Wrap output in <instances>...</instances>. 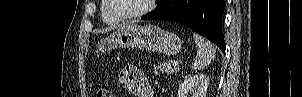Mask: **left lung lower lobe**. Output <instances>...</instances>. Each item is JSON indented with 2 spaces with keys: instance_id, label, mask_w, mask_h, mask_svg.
Returning <instances> with one entry per match:
<instances>
[{
  "instance_id": "obj_1",
  "label": "left lung lower lobe",
  "mask_w": 302,
  "mask_h": 97,
  "mask_svg": "<svg viewBox=\"0 0 302 97\" xmlns=\"http://www.w3.org/2000/svg\"><path fill=\"white\" fill-rule=\"evenodd\" d=\"M225 0H159L142 20H170L183 24L215 43L225 52L222 17Z\"/></svg>"
}]
</instances>
